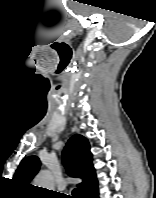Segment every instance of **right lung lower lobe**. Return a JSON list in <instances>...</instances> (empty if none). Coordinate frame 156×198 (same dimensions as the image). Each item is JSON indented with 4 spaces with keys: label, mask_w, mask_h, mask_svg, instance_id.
I'll return each instance as SVG.
<instances>
[{
    "label": "right lung lower lobe",
    "mask_w": 156,
    "mask_h": 198,
    "mask_svg": "<svg viewBox=\"0 0 156 198\" xmlns=\"http://www.w3.org/2000/svg\"><path fill=\"white\" fill-rule=\"evenodd\" d=\"M87 198H99L98 196V189L90 194Z\"/></svg>",
    "instance_id": "obj_1"
}]
</instances>
